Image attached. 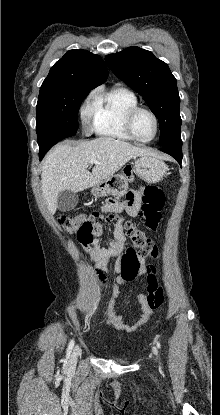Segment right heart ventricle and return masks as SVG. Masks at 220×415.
Instances as JSON below:
<instances>
[{
	"instance_id": "e07e8e85",
	"label": "right heart ventricle",
	"mask_w": 220,
	"mask_h": 415,
	"mask_svg": "<svg viewBox=\"0 0 220 415\" xmlns=\"http://www.w3.org/2000/svg\"><path fill=\"white\" fill-rule=\"evenodd\" d=\"M138 106L136 95L124 88L98 93L93 99V129L100 135L119 140H134L125 125L130 109Z\"/></svg>"
}]
</instances>
